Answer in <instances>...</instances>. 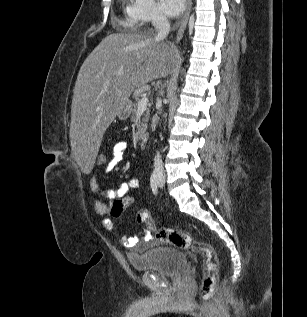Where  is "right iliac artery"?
I'll use <instances>...</instances> for the list:
<instances>
[{
    "label": "right iliac artery",
    "mask_w": 307,
    "mask_h": 317,
    "mask_svg": "<svg viewBox=\"0 0 307 317\" xmlns=\"http://www.w3.org/2000/svg\"><path fill=\"white\" fill-rule=\"evenodd\" d=\"M150 186H151L152 192L156 195L158 193V176L156 171H154L151 175Z\"/></svg>",
    "instance_id": "obj_1"
}]
</instances>
